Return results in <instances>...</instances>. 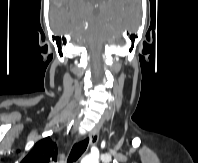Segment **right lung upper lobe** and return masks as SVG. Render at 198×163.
<instances>
[{"label": "right lung upper lobe", "instance_id": "1", "mask_svg": "<svg viewBox=\"0 0 198 163\" xmlns=\"http://www.w3.org/2000/svg\"><path fill=\"white\" fill-rule=\"evenodd\" d=\"M57 161V146L46 137L37 142L21 163H53Z\"/></svg>", "mask_w": 198, "mask_h": 163}]
</instances>
